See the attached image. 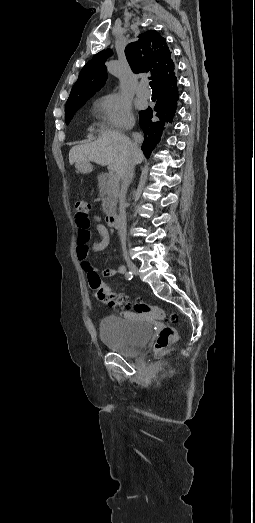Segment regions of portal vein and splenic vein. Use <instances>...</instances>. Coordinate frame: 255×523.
<instances>
[{
  "instance_id": "portal-vein-and-splenic-vein-1",
  "label": "portal vein and splenic vein",
  "mask_w": 255,
  "mask_h": 523,
  "mask_svg": "<svg viewBox=\"0 0 255 523\" xmlns=\"http://www.w3.org/2000/svg\"><path fill=\"white\" fill-rule=\"evenodd\" d=\"M109 173H110L111 175H114V174L116 173V170H115L114 168H111V169L109 170Z\"/></svg>"
}]
</instances>
